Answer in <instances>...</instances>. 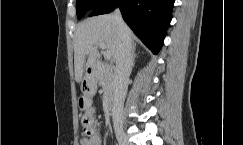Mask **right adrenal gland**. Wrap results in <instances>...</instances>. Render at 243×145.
Listing matches in <instances>:
<instances>
[{
    "label": "right adrenal gland",
    "mask_w": 243,
    "mask_h": 145,
    "mask_svg": "<svg viewBox=\"0 0 243 145\" xmlns=\"http://www.w3.org/2000/svg\"><path fill=\"white\" fill-rule=\"evenodd\" d=\"M136 44L133 45V50H132V63H133V66L135 65V59L137 57V54H136Z\"/></svg>",
    "instance_id": "obj_1"
}]
</instances>
